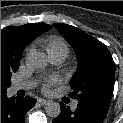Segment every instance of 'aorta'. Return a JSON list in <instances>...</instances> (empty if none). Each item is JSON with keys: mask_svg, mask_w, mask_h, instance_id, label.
I'll return each instance as SVG.
<instances>
[{"mask_svg": "<svg viewBox=\"0 0 123 123\" xmlns=\"http://www.w3.org/2000/svg\"><path fill=\"white\" fill-rule=\"evenodd\" d=\"M28 63L35 68L42 69L49 63V58L44 52L32 51L27 56ZM46 114L52 118L59 116L61 107L59 103L49 102L45 107Z\"/></svg>", "mask_w": 123, "mask_h": 123, "instance_id": "aorta-1", "label": "aorta"}]
</instances>
